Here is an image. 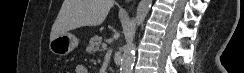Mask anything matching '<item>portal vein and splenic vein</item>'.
Here are the masks:
<instances>
[{"mask_svg": "<svg viewBox=\"0 0 244 73\" xmlns=\"http://www.w3.org/2000/svg\"><path fill=\"white\" fill-rule=\"evenodd\" d=\"M102 48H103V49H106V48H107V44L103 43V44H102Z\"/></svg>", "mask_w": 244, "mask_h": 73, "instance_id": "portal-vein-and-splenic-vein-1", "label": "portal vein and splenic vein"}]
</instances>
